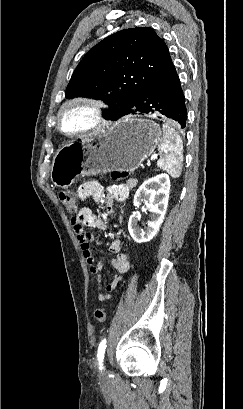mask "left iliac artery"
Returning a JSON list of instances; mask_svg holds the SVG:
<instances>
[{
  "mask_svg": "<svg viewBox=\"0 0 243 409\" xmlns=\"http://www.w3.org/2000/svg\"><path fill=\"white\" fill-rule=\"evenodd\" d=\"M105 349H106V339H103L98 347V353H97V358H98V362H99V369L102 370L103 369V360H104V354H105Z\"/></svg>",
  "mask_w": 243,
  "mask_h": 409,
  "instance_id": "1",
  "label": "left iliac artery"
}]
</instances>
